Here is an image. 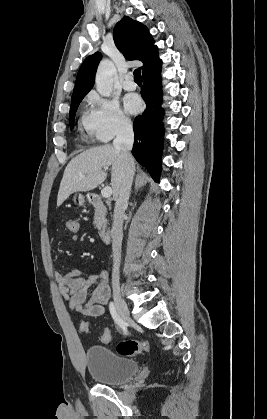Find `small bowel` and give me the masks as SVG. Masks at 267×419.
Returning a JSON list of instances; mask_svg holds the SVG:
<instances>
[{
	"mask_svg": "<svg viewBox=\"0 0 267 419\" xmlns=\"http://www.w3.org/2000/svg\"><path fill=\"white\" fill-rule=\"evenodd\" d=\"M79 237H71L77 242ZM54 278L59 286L68 308L85 316H101L110 297V278L106 270L87 273L80 269H71L65 273L56 271ZM95 287L88 300V291Z\"/></svg>",
	"mask_w": 267,
	"mask_h": 419,
	"instance_id": "small-bowel-1",
	"label": "small bowel"
}]
</instances>
